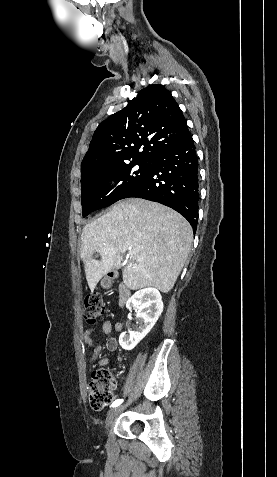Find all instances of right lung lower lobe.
Masks as SVG:
<instances>
[{
    "label": "right lung lower lobe",
    "mask_w": 277,
    "mask_h": 477,
    "mask_svg": "<svg viewBox=\"0 0 277 477\" xmlns=\"http://www.w3.org/2000/svg\"><path fill=\"white\" fill-rule=\"evenodd\" d=\"M151 169L124 198L156 201L182 214L196 232L198 223V158L189 132L177 144L157 153Z\"/></svg>",
    "instance_id": "obj_1"
}]
</instances>
